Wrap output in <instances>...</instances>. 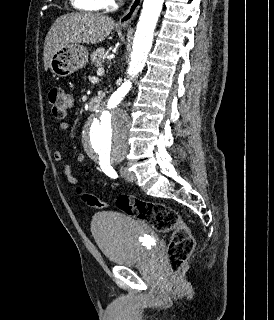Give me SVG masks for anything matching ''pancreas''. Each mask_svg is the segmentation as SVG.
Here are the masks:
<instances>
[{"mask_svg": "<svg viewBox=\"0 0 274 320\" xmlns=\"http://www.w3.org/2000/svg\"><path fill=\"white\" fill-rule=\"evenodd\" d=\"M105 56L104 48H97L96 52L90 54L91 64H94L95 68H102V58Z\"/></svg>", "mask_w": 274, "mask_h": 320, "instance_id": "1", "label": "pancreas"}]
</instances>
